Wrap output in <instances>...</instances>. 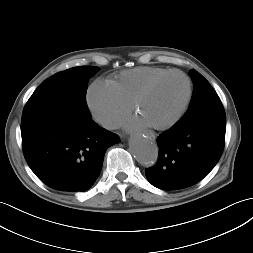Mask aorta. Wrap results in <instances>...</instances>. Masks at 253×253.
<instances>
[{"label": "aorta", "instance_id": "762f6f07", "mask_svg": "<svg viewBox=\"0 0 253 253\" xmlns=\"http://www.w3.org/2000/svg\"><path fill=\"white\" fill-rule=\"evenodd\" d=\"M130 150L135 159L144 166H153L158 158V147L155 141L146 135L131 138Z\"/></svg>", "mask_w": 253, "mask_h": 253}]
</instances>
